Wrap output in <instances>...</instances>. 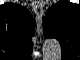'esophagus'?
Returning a JSON list of instances; mask_svg holds the SVG:
<instances>
[{"mask_svg":"<svg viewBox=\"0 0 80 60\" xmlns=\"http://www.w3.org/2000/svg\"><path fill=\"white\" fill-rule=\"evenodd\" d=\"M32 5H33L34 12L36 14L37 28H40L41 20H42V14H43L42 4L39 3V1H33Z\"/></svg>","mask_w":80,"mask_h":60,"instance_id":"34e87169","label":"esophagus"}]
</instances>
